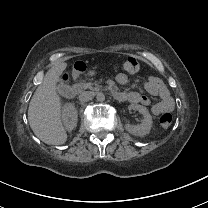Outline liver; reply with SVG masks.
Instances as JSON below:
<instances>
[{
	"label": "liver",
	"instance_id": "6515ba94",
	"mask_svg": "<svg viewBox=\"0 0 208 208\" xmlns=\"http://www.w3.org/2000/svg\"><path fill=\"white\" fill-rule=\"evenodd\" d=\"M67 63L56 64L48 70L36 89L28 108V121L34 134L48 145L64 144L67 134L60 120L61 102L56 84Z\"/></svg>",
	"mask_w": 208,
	"mask_h": 208
}]
</instances>
